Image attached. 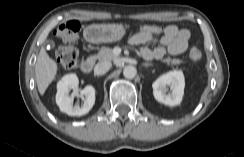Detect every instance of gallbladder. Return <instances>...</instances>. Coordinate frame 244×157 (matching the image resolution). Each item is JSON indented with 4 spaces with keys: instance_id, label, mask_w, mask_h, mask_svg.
<instances>
[{
    "instance_id": "gallbladder-1",
    "label": "gallbladder",
    "mask_w": 244,
    "mask_h": 157,
    "mask_svg": "<svg viewBox=\"0 0 244 157\" xmlns=\"http://www.w3.org/2000/svg\"><path fill=\"white\" fill-rule=\"evenodd\" d=\"M46 44H47V45H50V46H52V47H54V42H53L52 40H48V41L46 42Z\"/></svg>"
}]
</instances>
